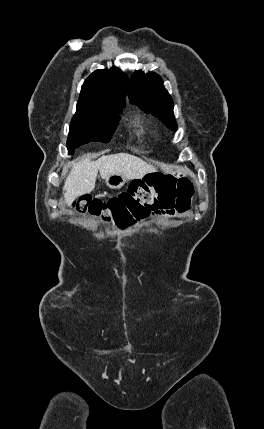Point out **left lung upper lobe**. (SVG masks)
Here are the masks:
<instances>
[{
  "instance_id": "obj_1",
  "label": "left lung upper lobe",
  "mask_w": 264,
  "mask_h": 429,
  "mask_svg": "<svg viewBox=\"0 0 264 429\" xmlns=\"http://www.w3.org/2000/svg\"><path fill=\"white\" fill-rule=\"evenodd\" d=\"M129 98L142 110L158 117L171 130H177L173 100L157 74L136 71L129 82Z\"/></svg>"
}]
</instances>
